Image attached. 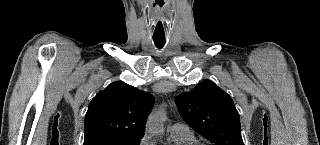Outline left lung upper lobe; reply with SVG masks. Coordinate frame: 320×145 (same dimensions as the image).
<instances>
[{"label": "left lung upper lobe", "instance_id": "1", "mask_svg": "<svg viewBox=\"0 0 320 145\" xmlns=\"http://www.w3.org/2000/svg\"><path fill=\"white\" fill-rule=\"evenodd\" d=\"M182 118L216 145H243L239 113L231 97L210 80L175 99Z\"/></svg>", "mask_w": 320, "mask_h": 145}]
</instances>
